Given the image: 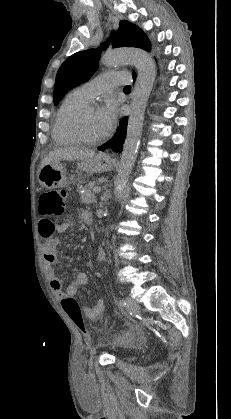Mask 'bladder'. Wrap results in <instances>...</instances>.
Listing matches in <instances>:
<instances>
[{
	"label": "bladder",
	"mask_w": 231,
	"mask_h": 419,
	"mask_svg": "<svg viewBox=\"0 0 231 419\" xmlns=\"http://www.w3.org/2000/svg\"><path fill=\"white\" fill-rule=\"evenodd\" d=\"M135 359H136L135 356H132V355H127L124 357V360L127 362H134Z\"/></svg>",
	"instance_id": "1"
}]
</instances>
